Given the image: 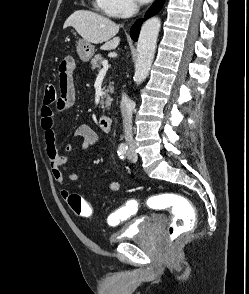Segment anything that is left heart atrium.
Here are the masks:
<instances>
[{
  "label": "left heart atrium",
  "instance_id": "1",
  "mask_svg": "<svg viewBox=\"0 0 249 294\" xmlns=\"http://www.w3.org/2000/svg\"><path fill=\"white\" fill-rule=\"evenodd\" d=\"M141 2H149L150 0H139Z\"/></svg>",
  "mask_w": 249,
  "mask_h": 294
}]
</instances>
